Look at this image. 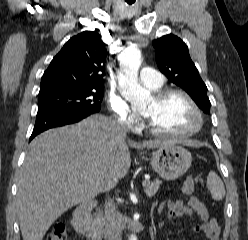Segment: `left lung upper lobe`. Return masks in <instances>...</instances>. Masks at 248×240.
Returning <instances> with one entry per match:
<instances>
[{
  "label": "left lung upper lobe",
  "instance_id": "obj_1",
  "mask_svg": "<svg viewBox=\"0 0 248 240\" xmlns=\"http://www.w3.org/2000/svg\"><path fill=\"white\" fill-rule=\"evenodd\" d=\"M159 70L174 84L183 88L203 110L210 113L207 87L192 62L187 45L177 36L168 34L153 41Z\"/></svg>",
  "mask_w": 248,
  "mask_h": 240
}]
</instances>
